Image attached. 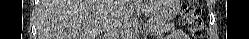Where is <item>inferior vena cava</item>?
<instances>
[{"mask_svg":"<svg viewBox=\"0 0 249 39\" xmlns=\"http://www.w3.org/2000/svg\"><path fill=\"white\" fill-rule=\"evenodd\" d=\"M120 2L121 0H114ZM116 4V3H115ZM120 22L118 21L116 16H112L107 22H105L103 26L104 38L105 39H113L116 36L118 31Z\"/></svg>","mask_w":249,"mask_h":39,"instance_id":"obj_1","label":"inferior vena cava"}]
</instances>
